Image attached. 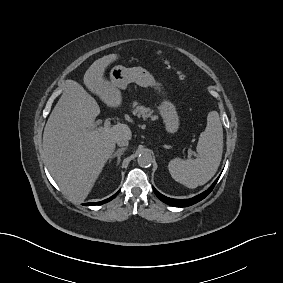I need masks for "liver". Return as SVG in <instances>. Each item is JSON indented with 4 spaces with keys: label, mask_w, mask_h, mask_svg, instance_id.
<instances>
[{
    "label": "liver",
    "mask_w": 283,
    "mask_h": 283,
    "mask_svg": "<svg viewBox=\"0 0 283 283\" xmlns=\"http://www.w3.org/2000/svg\"><path fill=\"white\" fill-rule=\"evenodd\" d=\"M118 55L104 56L87 69L84 84L108 107L122 104L118 87L104 76L108 65ZM100 113L96 100L76 81H69L43 133V150L47 167L71 200L82 202L91 192L106 161L115 150L119 138L130 140L132 132L126 124L94 128Z\"/></svg>",
    "instance_id": "6515ba94"
}]
</instances>
